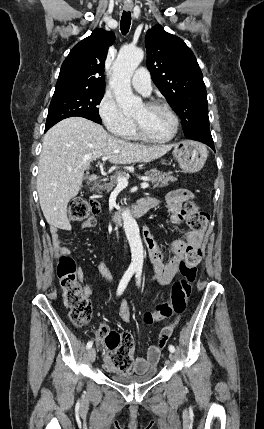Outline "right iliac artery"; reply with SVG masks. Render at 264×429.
<instances>
[{"mask_svg":"<svg viewBox=\"0 0 264 429\" xmlns=\"http://www.w3.org/2000/svg\"><path fill=\"white\" fill-rule=\"evenodd\" d=\"M134 272H135L134 268H128L127 269V271L125 272V274L123 275V277L119 283V286L117 289V296H120L123 293L124 289L126 288L128 282L131 279V277L133 276ZM92 344H93V342L89 341L86 345V348L90 349L92 347Z\"/></svg>","mask_w":264,"mask_h":429,"instance_id":"82829eb1","label":"right iliac artery"}]
</instances>
